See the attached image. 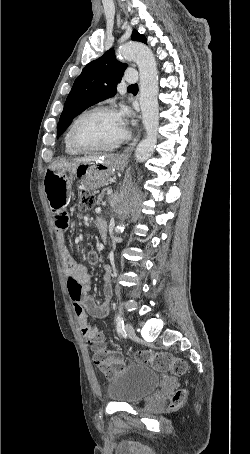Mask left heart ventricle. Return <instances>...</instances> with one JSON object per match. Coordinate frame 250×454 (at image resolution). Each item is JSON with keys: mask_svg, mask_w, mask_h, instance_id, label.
Returning <instances> with one entry per match:
<instances>
[{"mask_svg": "<svg viewBox=\"0 0 250 454\" xmlns=\"http://www.w3.org/2000/svg\"><path fill=\"white\" fill-rule=\"evenodd\" d=\"M124 130L118 113L101 111L84 118L77 126L75 136L83 146H105L121 137Z\"/></svg>", "mask_w": 250, "mask_h": 454, "instance_id": "left-heart-ventricle-1", "label": "left heart ventricle"}]
</instances>
